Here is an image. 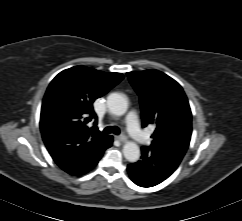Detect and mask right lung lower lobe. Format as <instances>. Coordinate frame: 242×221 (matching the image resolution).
<instances>
[{"instance_id": "right-lung-lower-lobe-1", "label": "right lung lower lobe", "mask_w": 242, "mask_h": 221, "mask_svg": "<svg viewBox=\"0 0 242 221\" xmlns=\"http://www.w3.org/2000/svg\"><path fill=\"white\" fill-rule=\"evenodd\" d=\"M112 141H113L112 137L109 136V138L106 140L104 146L97 153H93L91 155L88 165L85 166L84 168H82L81 170L74 171L72 168H62V169L71 175H83V174L87 173L98 163V161L100 160V158L103 155L104 150L109 148L112 145Z\"/></svg>"}]
</instances>
